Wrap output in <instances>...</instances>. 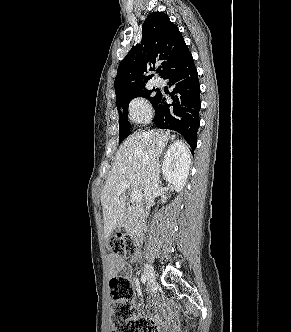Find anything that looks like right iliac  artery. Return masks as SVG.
Masks as SVG:
<instances>
[{"mask_svg": "<svg viewBox=\"0 0 291 332\" xmlns=\"http://www.w3.org/2000/svg\"><path fill=\"white\" fill-rule=\"evenodd\" d=\"M146 280H147V278H146V276L143 274V275L141 276V281H142V283H145Z\"/></svg>", "mask_w": 291, "mask_h": 332, "instance_id": "obj_1", "label": "right iliac artery"}]
</instances>
